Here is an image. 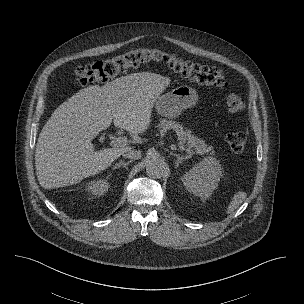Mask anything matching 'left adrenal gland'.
Here are the masks:
<instances>
[{
    "label": "left adrenal gland",
    "instance_id": "1",
    "mask_svg": "<svg viewBox=\"0 0 304 304\" xmlns=\"http://www.w3.org/2000/svg\"><path fill=\"white\" fill-rule=\"evenodd\" d=\"M173 156H175L177 158L175 164H176V168L179 166V164H181L185 159L190 158L189 155H182L180 156L179 154L176 153H171Z\"/></svg>",
    "mask_w": 304,
    "mask_h": 304
}]
</instances>
